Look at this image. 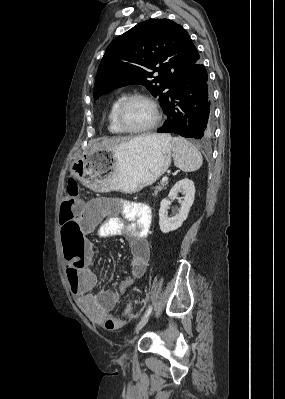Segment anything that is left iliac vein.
Returning <instances> with one entry per match:
<instances>
[{"label": "left iliac vein", "mask_w": 285, "mask_h": 399, "mask_svg": "<svg viewBox=\"0 0 285 399\" xmlns=\"http://www.w3.org/2000/svg\"><path fill=\"white\" fill-rule=\"evenodd\" d=\"M150 319V315H148L147 317H144L141 319V321L137 324L136 328H135V332H139L149 321Z\"/></svg>", "instance_id": "left-iliac-vein-1"}]
</instances>
